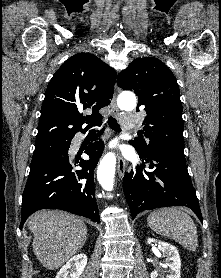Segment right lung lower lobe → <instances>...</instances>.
I'll return each mask as SVG.
<instances>
[{"label": "right lung lower lobe", "instance_id": "obj_1", "mask_svg": "<svg viewBox=\"0 0 221 278\" xmlns=\"http://www.w3.org/2000/svg\"><path fill=\"white\" fill-rule=\"evenodd\" d=\"M102 133L99 132L94 140ZM70 143L30 167L23 192L20 228L32 213L44 208L61 209L100 222L93 172L104 144L100 140L88 145L85 153L89 155V160L76 158L71 161L68 156ZM74 166L82 169L73 170Z\"/></svg>", "mask_w": 221, "mask_h": 278}]
</instances>
